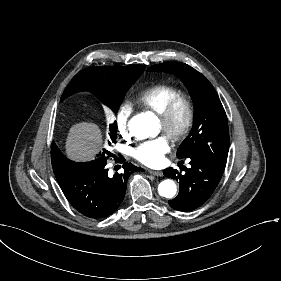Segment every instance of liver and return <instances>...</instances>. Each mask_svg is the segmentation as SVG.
<instances>
[{"label":"liver","mask_w":281,"mask_h":281,"mask_svg":"<svg viewBox=\"0 0 281 281\" xmlns=\"http://www.w3.org/2000/svg\"><path fill=\"white\" fill-rule=\"evenodd\" d=\"M102 133L95 123L80 122L73 125L66 140V154L75 161H90L102 149Z\"/></svg>","instance_id":"1"}]
</instances>
